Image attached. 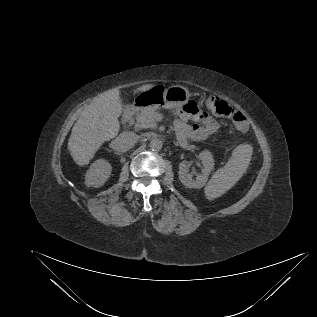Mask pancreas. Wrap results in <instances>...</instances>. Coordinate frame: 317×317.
Returning <instances> with one entry per match:
<instances>
[{
	"label": "pancreas",
	"mask_w": 317,
	"mask_h": 317,
	"mask_svg": "<svg viewBox=\"0 0 317 317\" xmlns=\"http://www.w3.org/2000/svg\"><path fill=\"white\" fill-rule=\"evenodd\" d=\"M157 115L158 111L155 107L142 109L136 117V126L138 128H155L157 126Z\"/></svg>",
	"instance_id": "obj_1"
}]
</instances>
